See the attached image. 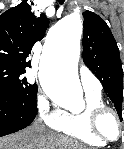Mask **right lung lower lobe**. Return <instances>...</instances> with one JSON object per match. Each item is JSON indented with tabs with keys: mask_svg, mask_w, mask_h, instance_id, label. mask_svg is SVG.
Returning a JSON list of instances; mask_svg holds the SVG:
<instances>
[{
	"mask_svg": "<svg viewBox=\"0 0 124 149\" xmlns=\"http://www.w3.org/2000/svg\"><path fill=\"white\" fill-rule=\"evenodd\" d=\"M37 114V105L21 95L0 88V137L29 126Z\"/></svg>",
	"mask_w": 124,
	"mask_h": 149,
	"instance_id": "obj_1",
	"label": "right lung lower lobe"
}]
</instances>
